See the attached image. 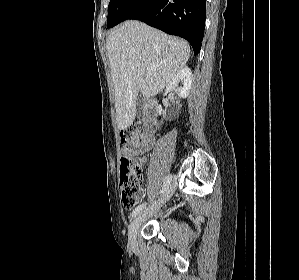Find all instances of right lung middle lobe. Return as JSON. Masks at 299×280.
Returning a JSON list of instances; mask_svg holds the SVG:
<instances>
[{
  "mask_svg": "<svg viewBox=\"0 0 299 280\" xmlns=\"http://www.w3.org/2000/svg\"><path fill=\"white\" fill-rule=\"evenodd\" d=\"M133 0H110L108 6L107 26L114 27L122 12L130 5Z\"/></svg>",
  "mask_w": 299,
  "mask_h": 280,
  "instance_id": "obj_1",
  "label": "right lung middle lobe"
}]
</instances>
